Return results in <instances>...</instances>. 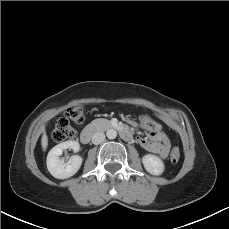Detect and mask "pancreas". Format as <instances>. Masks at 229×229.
Here are the masks:
<instances>
[{"mask_svg": "<svg viewBox=\"0 0 229 229\" xmlns=\"http://www.w3.org/2000/svg\"><path fill=\"white\" fill-rule=\"evenodd\" d=\"M92 125H94L99 130H103L110 126V121L107 119L99 118L93 120Z\"/></svg>", "mask_w": 229, "mask_h": 229, "instance_id": "cf45deb5", "label": "pancreas"}]
</instances>
